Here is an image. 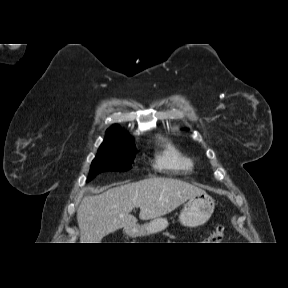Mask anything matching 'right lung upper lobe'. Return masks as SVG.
I'll return each instance as SVG.
<instances>
[{"mask_svg":"<svg viewBox=\"0 0 288 288\" xmlns=\"http://www.w3.org/2000/svg\"><path fill=\"white\" fill-rule=\"evenodd\" d=\"M112 139H123L126 141L132 142V139L130 136L123 133L118 127L113 126V128H110L107 130L106 138L104 141L112 140Z\"/></svg>","mask_w":288,"mask_h":288,"instance_id":"obj_1","label":"right lung upper lobe"}]
</instances>
